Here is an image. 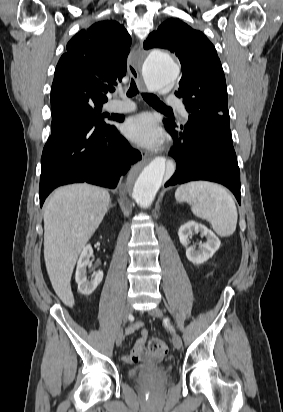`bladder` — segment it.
Segmentation results:
<instances>
[{"label":"bladder","mask_w":283,"mask_h":412,"mask_svg":"<svg viewBox=\"0 0 283 412\" xmlns=\"http://www.w3.org/2000/svg\"><path fill=\"white\" fill-rule=\"evenodd\" d=\"M151 369H161L164 371L165 374L169 375L170 370L165 367L164 365L161 364H155V365H138L135 367H132L128 370V376L131 380H136L143 372Z\"/></svg>","instance_id":"31cf9c89"}]
</instances>
